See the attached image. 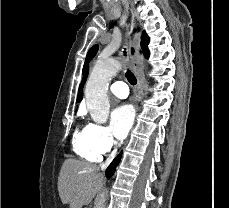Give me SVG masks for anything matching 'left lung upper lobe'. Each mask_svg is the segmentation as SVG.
<instances>
[{
  "instance_id": "left-lung-upper-lobe-1",
  "label": "left lung upper lobe",
  "mask_w": 229,
  "mask_h": 208,
  "mask_svg": "<svg viewBox=\"0 0 229 208\" xmlns=\"http://www.w3.org/2000/svg\"><path fill=\"white\" fill-rule=\"evenodd\" d=\"M148 43H149V37L147 36V34L143 31V34L141 35V47L144 53V56L146 58L149 57V50H148ZM98 51V45H94L87 53L86 56V60H85V64L83 67V70H85L86 65L88 64V62L91 60L92 57L95 56V54Z\"/></svg>"
}]
</instances>
